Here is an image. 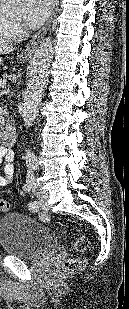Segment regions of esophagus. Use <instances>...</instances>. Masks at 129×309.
<instances>
[{
  "label": "esophagus",
  "mask_w": 129,
  "mask_h": 309,
  "mask_svg": "<svg viewBox=\"0 0 129 309\" xmlns=\"http://www.w3.org/2000/svg\"><path fill=\"white\" fill-rule=\"evenodd\" d=\"M58 3H59L58 0H54L53 7H52V13H51L47 23L42 27L41 30H39V32H37L33 36V38L29 41V43L23 49L22 53L24 55L31 56L34 53L35 48L37 47V45L39 44L41 39L46 35L47 31L49 30V28H50V26L53 22L54 16H55L56 11H57Z\"/></svg>",
  "instance_id": "34e87169"
}]
</instances>
